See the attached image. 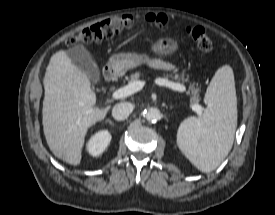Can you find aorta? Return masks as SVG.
<instances>
[{
  "label": "aorta",
  "instance_id": "1",
  "mask_svg": "<svg viewBox=\"0 0 275 215\" xmlns=\"http://www.w3.org/2000/svg\"><path fill=\"white\" fill-rule=\"evenodd\" d=\"M160 111L157 108L151 107L149 109L146 110L145 112V118L147 119V121L149 122H156L160 119Z\"/></svg>",
  "mask_w": 275,
  "mask_h": 215
}]
</instances>
